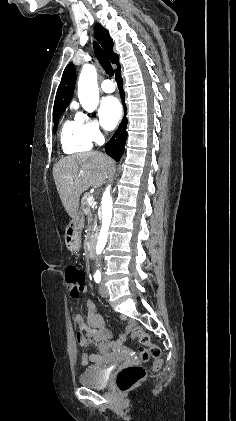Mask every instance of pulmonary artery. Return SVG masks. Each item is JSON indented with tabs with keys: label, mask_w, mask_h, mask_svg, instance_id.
<instances>
[{
	"label": "pulmonary artery",
	"mask_w": 236,
	"mask_h": 421,
	"mask_svg": "<svg viewBox=\"0 0 236 421\" xmlns=\"http://www.w3.org/2000/svg\"><path fill=\"white\" fill-rule=\"evenodd\" d=\"M101 88L106 93H112L116 90V84L109 80H104L101 83Z\"/></svg>",
	"instance_id": "1"
}]
</instances>
